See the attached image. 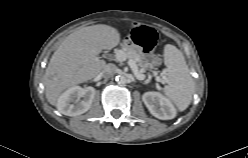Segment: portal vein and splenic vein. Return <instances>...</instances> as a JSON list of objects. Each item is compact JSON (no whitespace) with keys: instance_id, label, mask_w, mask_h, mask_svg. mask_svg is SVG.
Segmentation results:
<instances>
[{"instance_id":"1","label":"portal vein and splenic vein","mask_w":248,"mask_h":158,"mask_svg":"<svg viewBox=\"0 0 248 158\" xmlns=\"http://www.w3.org/2000/svg\"><path fill=\"white\" fill-rule=\"evenodd\" d=\"M115 57H116V59H117L118 61H125V60L127 59L126 54H125L122 50H118V51L116 52V54H115ZM128 65H129V67L131 68L132 72L134 73V75H135V77H136L137 79H139V80L145 79V75H144V74H141V73L139 72V69H138V67H137V64H136V62H135L134 60L129 59V60H128ZM164 79H165V78H164ZM156 81H157V82H161L162 79L158 76V77H156Z\"/></svg>"}]
</instances>
